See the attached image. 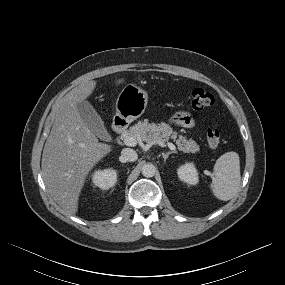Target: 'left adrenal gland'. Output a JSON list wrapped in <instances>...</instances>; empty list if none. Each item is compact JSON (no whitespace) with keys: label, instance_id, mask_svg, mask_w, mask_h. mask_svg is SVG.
Returning <instances> with one entry per match:
<instances>
[{"label":"left adrenal gland","instance_id":"1","mask_svg":"<svg viewBox=\"0 0 285 285\" xmlns=\"http://www.w3.org/2000/svg\"><path fill=\"white\" fill-rule=\"evenodd\" d=\"M176 153V151H168L167 153H162V157L164 158V161L166 162L167 158L170 154Z\"/></svg>","mask_w":285,"mask_h":285}]
</instances>
